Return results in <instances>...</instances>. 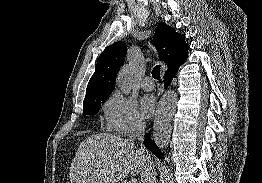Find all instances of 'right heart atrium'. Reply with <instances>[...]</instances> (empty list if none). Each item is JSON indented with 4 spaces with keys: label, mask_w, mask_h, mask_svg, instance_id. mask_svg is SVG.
<instances>
[{
    "label": "right heart atrium",
    "mask_w": 262,
    "mask_h": 183,
    "mask_svg": "<svg viewBox=\"0 0 262 183\" xmlns=\"http://www.w3.org/2000/svg\"><path fill=\"white\" fill-rule=\"evenodd\" d=\"M103 110L106 128L114 134L130 136L145 128V120L136 103L119 92L108 97Z\"/></svg>",
    "instance_id": "right-heart-atrium-1"
}]
</instances>
